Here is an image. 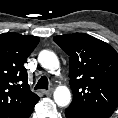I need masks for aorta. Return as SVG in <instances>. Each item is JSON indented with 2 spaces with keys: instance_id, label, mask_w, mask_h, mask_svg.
<instances>
[{
  "instance_id": "obj_1",
  "label": "aorta",
  "mask_w": 118,
  "mask_h": 118,
  "mask_svg": "<svg viewBox=\"0 0 118 118\" xmlns=\"http://www.w3.org/2000/svg\"><path fill=\"white\" fill-rule=\"evenodd\" d=\"M38 61L45 69L53 72L60 67V63L56 54L49 50H43L38 56ZM55 103L59 107H66L71 102V93L68 87L61 85L58 86L53 94Z\"/></svg>"
}]
</instances>
